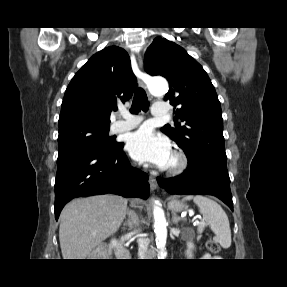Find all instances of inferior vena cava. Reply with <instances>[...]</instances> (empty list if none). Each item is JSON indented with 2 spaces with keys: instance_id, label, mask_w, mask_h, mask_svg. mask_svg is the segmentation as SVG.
<instances>
[{
  "instance_id": "602c4592",
  "label": "inferior vena cava",
  "mask_w": 287,
  "mask_h": 287,
  "mask_svg": "<svg viewBox=\"0 0 287 287\" xmlns=\"http://www.w3.org/2000/svg\"><path fill=\"white\" fill-rule=\"evenodd\" d=\"M149 244V240L146 238H143L142 236L138 239V245H139V256L143 257L144 253L147 250Z\"/></svg>"
}]
</instances>
